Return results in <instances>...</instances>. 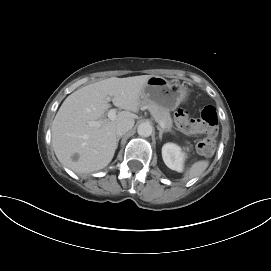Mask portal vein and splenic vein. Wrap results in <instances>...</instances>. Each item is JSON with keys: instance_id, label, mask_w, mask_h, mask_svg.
Segmentation results:
<instances>
[{"instance_id": "1", "label": "portal vein and splenic vein", "mask_w": 271, "mask_h": 271, "mask_svg": "<svg viewBox=\"0 0 271 271\" xmlns=\"http://www.w3.org/2000/svg\"><path fill=\"white\" fill-rule=\"evenodd\" d=\"M106 99H107V101H109V100H110V97H107ZM107 116H108V119H109V120H111V121L114 120V119L116 118V109H110ZM105 121H106V120H104V121H102V120H99V121H90L88 124H89V126H96V127H99V126H101ZM159 125H160V127H161L162 129H165V128H166L164 122H162V121L159 122Z\"/></svg>"}]
</instances>
